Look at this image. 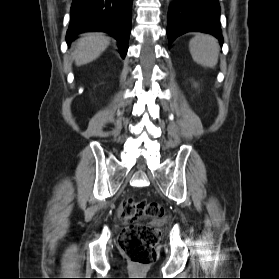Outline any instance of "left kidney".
<instances>
[{
	"instance_id": "obj_1",
	"label": "left kidney",
	"mask_w": 279,
	"mask_h": 279,
	"mask_svg": "<svg viewBox=\"0 0 279 279\" xmlns=\"http://www.w3.org/2000/svg\"><path fill=\"white\" fill-rule=\"evenodd\" d=\"M194 86H195V87H197V86H198V84H194Z\"/></svg>"
}]
</instances>
